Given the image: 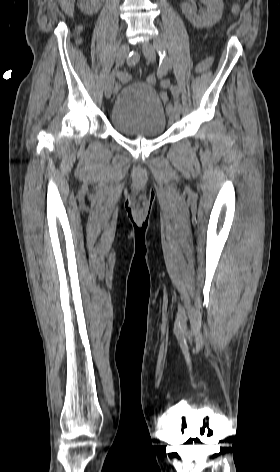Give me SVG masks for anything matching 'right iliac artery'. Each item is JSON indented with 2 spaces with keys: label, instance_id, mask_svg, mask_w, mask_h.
<instances>
[{
  "label": "right iliac artery",
  "instance_id": "obj_1",
  "mask_svg": "<svg viewBox=\"0 0 280 472\" xmlns=\"http://www.w3.org/2000/svg\"><path fill=\"white\" fill-rule=\"evenodd\" d=\"M140 60V55L136 51L130 52V54L127 57V65L129 67L135 66ZM117 77L121 81H127L129 80L130 76L126 71H118L117 72Z\"/></svg>",
  "mask_w": 280,
  "mask_h": 472
}]
</instances>
